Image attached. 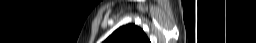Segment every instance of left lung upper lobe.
Listing matches in <instances>:
<instances>
[{
  "label": "left lung upper lobe",
  "mask_w": 256,
  "mask_h": 43,
  "mask_svg": "<svg viewBox=\"0 0 256 43\" xmlns=\"http://www.w3.org/2000/svg\"><path fill=\"white\" fill-rule=\"evenodd\" d=\"M104 43H150L142 29L128 24L115 30Z\"/></svg>",
  "instance_id": "5c2ea615"
}]
</instances>
